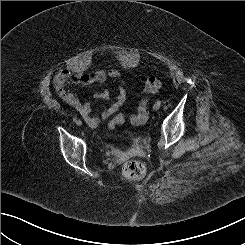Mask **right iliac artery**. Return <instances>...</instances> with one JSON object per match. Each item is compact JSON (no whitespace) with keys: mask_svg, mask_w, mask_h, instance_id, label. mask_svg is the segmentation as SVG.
<instances>
[{"mask_svg":"<svg viewBox=\"0 0 245 245\" xmlns=\"http://www.w3.org/2000/svg\"><path fill=\"white\" fill-rule=\"evenodd\" d=\"M73 121H74V122H77V118H73Z\"/></svg>","mask_w":245,"mask_h":245,"instance_id":"right-iliac-artery-1","label":"right iliac artery"}]
</instances>
